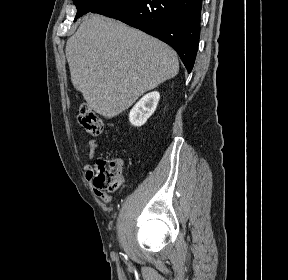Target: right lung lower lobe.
Instances as JSON below:
<instances>
[{"mask_svg": "<svg viewBox=\"0 0 288 280\" xmlns=\"http://www.w3.org/2000/svg\"><path fill=\"white\" fill-rule=\"evenodd\" d=\"M202 0H109L91 12L118 19L170 45L190 73L198 50Z\"/></svg>", "mask_w": 288, "mask_h": 280, "instance_id": "right-lung-lower-lobe-1", "label": "right lung lower lobe"}]
</instances>
